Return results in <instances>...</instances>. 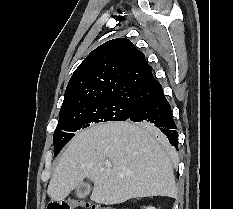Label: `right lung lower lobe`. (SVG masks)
<instances>
[{"label": "right lung lower lobe", "instance_id": "obj_1", "mask_svg": "<svg viewBox=\"0 0 233 209\" xmlns=\"http://www.w3.org/2000/svg\"><path fill=\"white\" fill-rule=\"evenodd\" d=\"M128 120L145 123L155 129L161 135H166L169 142L178 150V132L173 120L169 102L163 92L138 105ZM158 137V136H157Z\"/></svg>", "mask_w": 233, "mask_h": 209}]
</instances>
